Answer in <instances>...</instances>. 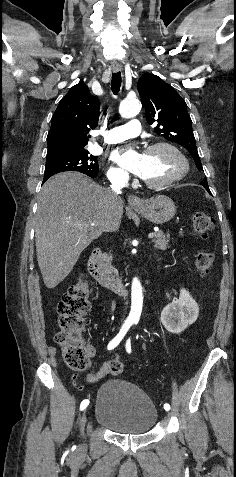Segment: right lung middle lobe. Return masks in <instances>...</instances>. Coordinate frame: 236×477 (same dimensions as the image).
I'll return each mask as SVG.
<instances>
[{"mask_svg":"<svg viewBox=\"0 0 236 477\" xmlns=\"http://www.w3.org/2000/svg\"><path fill=\"white\" fill-rule=\"evenodd\" d=\"M98 169L97 157L83 148L76 153L46 161L44 178L64 171H78L95 178Z\"/></svg>","mask_w":236,"mask_h":477,"instance_id":"dd1d6c3e","label":"right lung middle lobe"}]
</instances>
